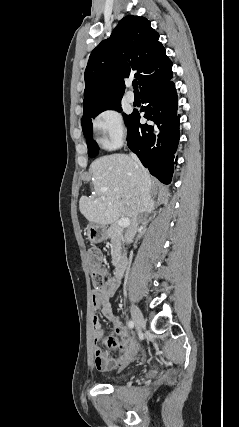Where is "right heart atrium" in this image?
Instances as JSON below:
<instances>
[{
    "instance_id": "obj_1",
    "label": "right heart atrium",
    "mask_w": 239,
    "mask_h": 427,
    "mask_svg": "<svg viewBox=\"0 0 239 427\" xmlns=\"http://www.w3.org/2000/svg\"><path fill=\"white\" fill-rule=\"evenodd\" d=\"M94 128L101 145L106 149H117L125 141L126 129L123 118L115 109H107L98 114L94 120Z\"/></svg>"
}]
</instances>
